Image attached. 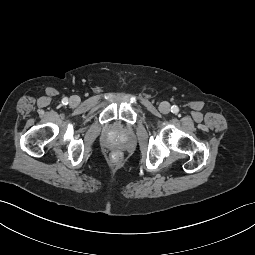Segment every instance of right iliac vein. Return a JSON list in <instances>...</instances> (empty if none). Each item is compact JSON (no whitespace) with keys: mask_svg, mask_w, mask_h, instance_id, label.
Here are the masks:
<instances>
[{"mask_svg":"<svg viewBox=\"0 0 255 255\" xmlns=\"http://www.w3.org/2000/svg\"><path fill=\"white\" fill-rule=\"evenodd\" d=\"M80 102V98L78 96H72L70 98V104L77 105Z\"/></svg>","mask_w":255,"mask_h":255,"instance_id":"63e3f726","label":"right iliac vein"}]
</instances>
